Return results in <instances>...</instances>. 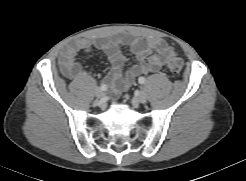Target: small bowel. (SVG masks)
<instances>
[{
	"instance_id": "1",
	"label": "small bowel",
	"mask_w": 246,
	"mask_h": 181,
	"mask_svg": "<svg viewBox=\"0 0 246 181\" xmlns=\"http://www.w3.org/2000/svg\"><path fill=\"white\" fill-rule=\"evenodd\" d=\"M122 45H128L136 59L126 73L122 69L128 58L121 51ZM95 49L103 51L112 64L103 82L112 88L113 98L128 89L139 75L159 72L173 53L164 40L157 38L144 39L128 34H118L106 40L80 38L68 43L61 51L59 64L63 75L70 79L79 78L82 68L76 61L77 53H89Z\"/></svg>"
}]
</instances>
